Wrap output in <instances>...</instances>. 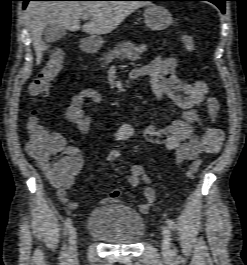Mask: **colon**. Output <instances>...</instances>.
Wrapping results in <instances>:
<instances>
[{
	"label": "colon",
	"mask_w": 247,
	"mask_h": 265,
	"mask_svg": "<svg viewBox=\"0 0 247 265\" xmlns=\"http://www.w3.org/2000/svg\"><path fill=\"white\" fill-rule=\"evenodd\" d=\"M180 42L187 51L195 47L194 37L191 34H181ZM64 64V55L61 50H55L50 55L46 65L42 68L37 78L31 83L29 92L36 99L45 98L54 77L60 72ZM29 141L26 145L28 154L54 180L64 179L71 168L69 158L64 154L62 138L49 132L41 123L39 112L33 110L27 123ZM120 157L117 149L111 150L106 157L108 163H115ZM201 160H194L190 164L189 175H195L200 167Z\"/></svg>",
	"instance_id": "obj_1"
}]
</instances>
